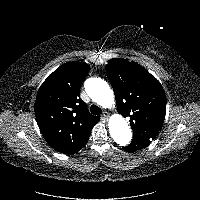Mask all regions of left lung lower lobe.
<instances>
[{"instance_id": "0a47b994", "label": "left lung lower lobe", "mask_w": 200, "mask_h": 200, "mask_svg": "<svg viewBox=\"0 0 200 200\" xmlns=\"http://www.w3.org/2000/svg\"><path fill=\"white\" fill-rule=\"evenodd\" d=\"M123 149H124L125 151H127V152H134V151H136L135 149H133V148L130 147L129 145L126 146V147H123Z\"/></svg>"}]
</instances>
